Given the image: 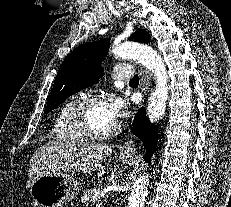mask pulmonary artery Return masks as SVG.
I'll return each mask as SVG.
<instances>
[{
  "label": "pulmonary artery",
  "instance_id": "obj_1",
  "mask_svg": "<svg viewBox=\"0 0 231 207\" xmlns=\"http://www.w3.org/2000/svg\"><path fill=\"white\" fill-rule=\"evenodd\" d=\"M112 76L116 80H128L134 77V71L128 64H118L114 67Z\"/></svg>",
  "mask_w": 231,
  "mask_h": 207
}]
</instances>
